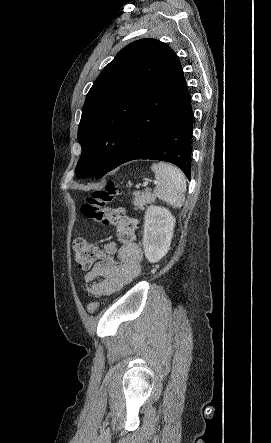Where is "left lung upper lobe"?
I'll return each mask as SVG.
<instances>
[{
    "instance_id": "5c2ea615",
    "label": "left lung upper lobe",
    "mask_w": 271,
    "mask_h": 443,
    "mask_svg": "<svg viewBox=\"0 0 271 443\" xmlns=\"http://www.w3.org/2000/svg\"><path fill=\"white\" fill-rule=\"evenodd\" d=\"M175 52L156 39L124 47L103 69L89 90L78 126L82 155L77 178H101L117 155L137 109L155 78Z\"/></svg>"
}]
</instances>
